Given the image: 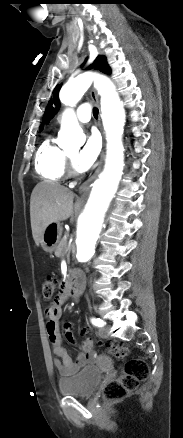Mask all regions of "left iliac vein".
<instances>
[{
  "label": "left iliac vein",
  "mask_w": 183,
  "mask_h": 438,
  "mask_svg": "<svg viewBox=\"0 0 183 438\" xmlns=\"http://www.w3.org/2000/svg\"><path fill=\"white\" fill-rule=\"evenodd\" d=\"M98 335L101 338H108L109 337V335H108V328L107 327H101L99 329V331H98Z\"/></svg>",
  "instance_id": "1"
}]
</instances>
